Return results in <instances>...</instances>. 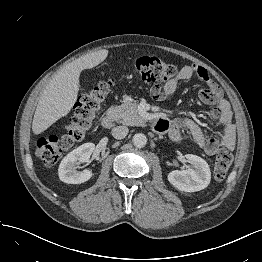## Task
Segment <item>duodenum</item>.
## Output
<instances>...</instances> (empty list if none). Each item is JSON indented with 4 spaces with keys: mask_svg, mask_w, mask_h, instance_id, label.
<instances>
[{
    "mask_svg": "<svg viewBox=\"0 0 262 262\" xmlns=\"http://www.w3.org/2000/svg\"><path fill=\"white\" fill-rule=\"evenodd\" d=\"M117 121V113L116 112H110L108 114H105L101 118V124L104 128H111L114 126L115 122ZM160 122L157 121L155 124L156 130L159 129Z\"/></svg>",
    "mask_w": 262,
    "mask_h": 262,
    "instance_id": "410a0bca",
    "label": "duodenum"
}]
</instances>
